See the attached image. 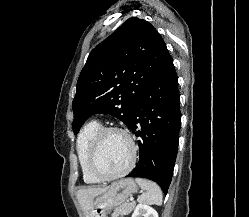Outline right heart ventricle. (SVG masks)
Returning <instances> with one entry per match:
<instances>
[{"label":"right heart ventricle","mask_w":249,"mask_h":217,"mask_svg":"<svg viewBox=\"0 0 249 217\" xmlns=\"http://www.w3.org/2000/svg\"><path fill=\"white\" fill-rule=\"evenodd\" d=\"M100 129L101 125L99 124V122L95 120L88 122L81 129L76 142V151L82 177L84 182L88 184H97L102 182L90 172L88 167V153L90 144L94 136Z\"/></svg>","instance_id":"e07e8e85"}]
</instances>
